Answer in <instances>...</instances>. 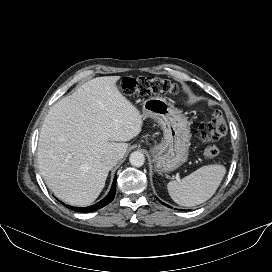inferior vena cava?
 Returning a JSON list of instances; mask_svg holds the SVG:
<instances>
[{
	"instance_id": "602c4592",
	"label": "inferior vena cava",
	"mask_w": 272,
	"mask_h": 272,
	"mask_svg": "<svg viewBox=\"0 0 272 272\" xmlns=\"http://www.w3.org/2000/svg\"><path fill=\"white\" fill-rule=\"evenodd\" d=\"M120 160V156L117 152L115 151H110L107 152L103 157L102 161L103 163L109 165V166H114L117 164V162Z\"/></svg>"
}]
</instances>
